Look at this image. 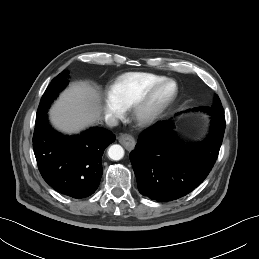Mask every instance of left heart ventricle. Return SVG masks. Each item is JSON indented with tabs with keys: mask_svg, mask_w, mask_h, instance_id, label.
Here are the masks:
<instances>
[{
	"mask_svg": "<svg viewBox=\"0 0 259 259\" xmlns=\"http://www.w3.org/2000/svg\"><path fill=\"white\" fill-rule=\"evenodd\" d=\"M173 85H167L161 88L153 97L150 107L153 108L165 101L173 92Z\"/></svg>",
	"mask_w": 259,
	"mask_h": 259,
	"instance_id": "b2bd125f",
	"label": "left heart ventricle"
}]
</instances>
